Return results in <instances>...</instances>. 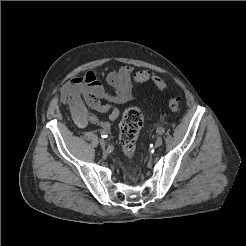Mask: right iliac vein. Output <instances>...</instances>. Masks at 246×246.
I'll list each match as a JSON object with an SVG mask.
<instances>
[{"instance_id": "obj_1", "label": "right iliac vein", "mask_w": 246, "mask_h": 246, "mask_svg": "<svg viewBox=\"0 0 246 246\" xmlns=\"http://www.w3.org/2000/svg\"><path fill=\"white\" fill-rule=\"evenodd\" d=\"M99 143H100V145H101L102 148H105V146H106V141H105L104 139H100V140H99Z\"/></svg>"}]
</instances>
